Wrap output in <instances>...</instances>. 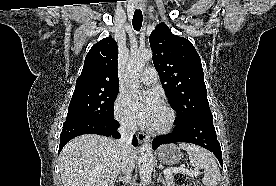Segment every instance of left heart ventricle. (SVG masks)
<instances>
[{"label":"left heart ventricle","mask_w":276,"mask_h":186,"mask_svg":"<svg viewBox=\"0 0 276 186\" xmlns=\"http://www.w3.org/2000/svg\"><path fill=\"white\" fill-rule=\"evenodd\" d=\"M166 121L167 114L165 110L161 107L151 127H160L164 125Z\"/></svg>","instance_id":"1"}]
</instances>
